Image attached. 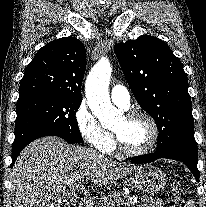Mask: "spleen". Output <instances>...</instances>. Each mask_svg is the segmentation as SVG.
<instances>
[{
	"label": "spleen",
	"instance_id": "3e777b00",
	"mask_svg": "<svg viewBox=\"0 0 206 207\" xmlns=\"http://www.w3.org/2000/svg\"><path fill=\"white\" fill-rule=\"evenodd\" d=\"M185 207H195V202L193 200H188L187 204Z\"/></svg>",
	"mask_w": 206,
	"mask_h": 207
}]
</instances>
